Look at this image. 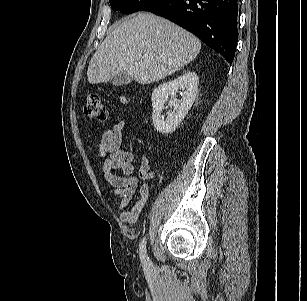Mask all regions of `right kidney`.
I'll use <instances>...</instances> for the list:
<instances>
[{
	"label": "right kidney",
	"instance_id": "obj_1",
	"mask_svg": "<svg viewBox=\"0 0 307 301\" xmlns=\"http://www.w3.org/2000/svg\"><path fill=\"white\" fill-rule=\"evenodd\" d=\"M199 78L195 72L187 71L176 79L163 83L153 90L152 93V122L155 129L162 134L175 131L190 110L198 93ZM178 89L184 90L182 99L176 98ZM171 97L168 105L173 107L167 113V118L161 116L164 104Z\"/></svg>",
	"mask_w": 307,
	"mask_h": 301
}]
</instances>
